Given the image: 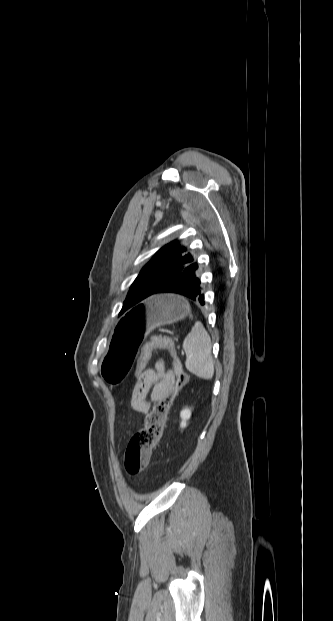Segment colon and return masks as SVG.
<instances>
[{
  "mask_svg": "<svg viewBox=\"0 0 333 621\" xmlns=\"http://www.w3.org/2000/svg\"><path fill=\"white\" fill-rule=\"evenodd\" d=\"M160 348L168 349L171 353L176 381L172 389L155 404L145 421L144 427L131 437L127 445L124 466L126 472L131 476L138 475L147 468L151 454L161 438L173 399L188 383V376L183 370L174 344L164 336L153 337L143 347L135 372L136 383L144 373L152 353Z\"/></svg>",
  "mask_w": 333,
  "mask_h": 621,
  "instance_id": "1",
  "label": "colon"
}]
</instances>
